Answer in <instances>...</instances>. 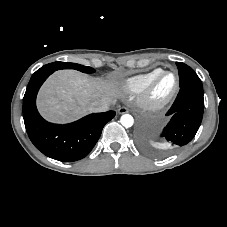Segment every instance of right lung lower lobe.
Segmentation results:
<instances>
[{
  "instance_id": "right-lung-lower-lobe-1",
  "label": "right lung lower lobe",
  "mask_w": 227,
  "mask_h": 227,
  "mask_svg": "<svg viewBox=\"0 0 227 227\" xmlns=\"http://www.w3.org/2000/svg\"><path fill=\"white\" fill-rule=\"evenodd\" d=\"M53 72L41 71L32 75L23 98L25 128L32 143L46 156L62 162L77 161L89 154L115 112L90 114L64 125L45 121L37 111L36 95Z\"/></svg>"
}]
</instances>
